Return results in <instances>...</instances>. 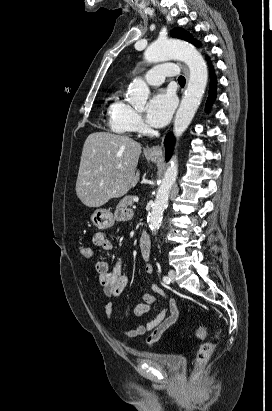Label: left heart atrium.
<instances>
[{"label": "left heart atrium", "instance_id": "39dd6f15", "mask_svg": "<svg viewBox=\"0 0 272 411\" xmlns=\"http://www.w3.org/2000/svg\"><path fill=\"white\" fill-rule=\"evenodd\" d=\"M174 109V96L166 91L158 92L148 102L147 122L153 127H163L169 122Z\"/></svg>", "mask_w": 272, "mask_h": 411}]
</instances>
